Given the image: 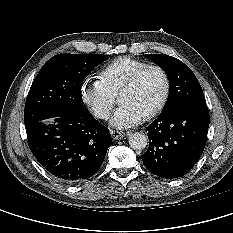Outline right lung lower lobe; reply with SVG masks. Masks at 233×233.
<instances>
[{"mask_svg": "<svg viewBox=\"0 0 233 233\" xmlns=\"http://www.w3.org/2000/svg\"><path fill=\"white\" fill-rule=\"evenodd\" d=\"M26 126L30 150L39 163L65 183H78L101 167L112 144L109 130L85 108Z\"/></svg>", "mask_w": 233, "mask_h": 233, "instance_id": "right-lung-lower-lobe-1", "label": "right lung lower lobe"}]
</instances>
